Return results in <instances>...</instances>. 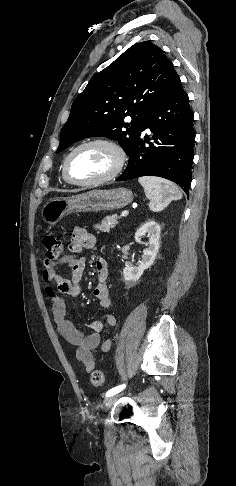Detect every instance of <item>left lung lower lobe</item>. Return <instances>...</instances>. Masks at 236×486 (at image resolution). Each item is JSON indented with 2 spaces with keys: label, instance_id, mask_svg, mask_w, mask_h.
<instances>
[{
  "label": "left lung lower lobe",
  "instance_id": "0a47b994",
  "mask_svg": "<svg viewBox=\"0 0 236 486\" xmlns=\"http://www.w3.org/2000/svg\"><path fill=\"white\" fill-rule=\"evenodd\" d=\"M178 79L151 109L144 129L129 154L128 166L116 181L158 176L177 183L188 193L192 179L194 114ZM154 134L150 143L144 131Z\"/></svg>",
  "mask_w": 236,
  "mask_h": 486
}]
</instances>
